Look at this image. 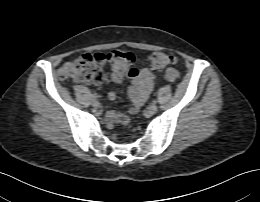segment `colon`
Instances as JSON below:
<instances>
[{
    "mask_svg": "<svg viewBox=\"0 0 260 202\" xmlns=\"http://www.w3.org/2000/svg\"><path fill=\"white\" fill-rule=\"evenodd\" d=\"M132 62L133 54L127 50H114L108 54H84L63 64L59 69V76L63 80L99 85L109 80L113 75V72L107 69V63H110L121 73H125L129 70ZM175 62L176 58L165 52H154L149 56L151 69L164 70L163 77L168 81H175L180 77L178 70L171 67Z\"/></svg>",
    "mask_w": 260,
    "mask_h": 202,
    "instance_id": "1",
    "label": "colon"
}]
</instances>
